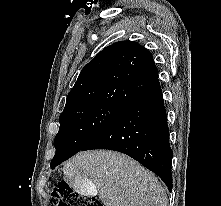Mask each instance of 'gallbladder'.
I'll return each instance as SVG.
<instances>
[{
	"instance_id": "1",
	"label": "gallbladder",
	"mask_w": 221,
	"mask_h": 206,
	"mask_svg": "<svg viewBox=\"0 0 221 206\" xmlns=\"http://www.w3.org/2000/svg\"><path fill=\"white\" fill-rule=\"evenodd\" d=\"M68 186H71L72 194H81L82 198H95L97 189L95 185H90V181H70L67 180Z\"/></svg>"
}]
</instances>
